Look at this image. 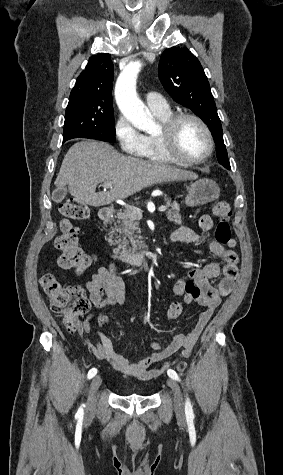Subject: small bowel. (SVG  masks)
Returning a JSON list of instances; mask_svg holds the SVG:
<instances>
[{"label": "small bowel", "mask_w": 283, "mask_h": 475, "mask_svg": "<svg viewBox=\"0 0 283 475\" xmlns=\"http://www.w3.org/2000/svg\"><path fill=\"white\" fill-rule=\"evenodd\" d=\"M211 228L212 218L209 215H202L198 219L196 228L181 227L172 234L171 239L184 244H198ZM226 244L217 241H211L209 244L211 253L215 258L220 259L223 265H220L217 261H211L203 268L190 269L187 274L190 279H199L202 282L203 293L196 303L204 308L189 334H176L172 342L166 347H162L158 341L153 340L150 342L153 352L143 359L133 362L114 350L113 343L107 335L97 332V342L93 343L87 340L94 356L109 363L123 378L133 377L142 381L156 378L162 372V366L148 370L154 364L168 359L178 352L180 358L189 357L222 300L232 293L237 279L239 257L230 249L235 242L230 243L228 241ZM219 276H221V279L218 285L212 286L211 281ZM184 279L186 278H180L174 284L173 291L178 296L182 293ZM87 290L90 301L95 308L124 305L126 303V284L124 279L116 272L114 264L100 267L87 284ZM168 315L169 312L167 311V317ZM95 322L101 324L103 321L97 319ZM90 328L91 318L87 317L78 330L79 335L85 338Z\"/></svg>", "instance_id": "c3829d8e"}]
</instances>
